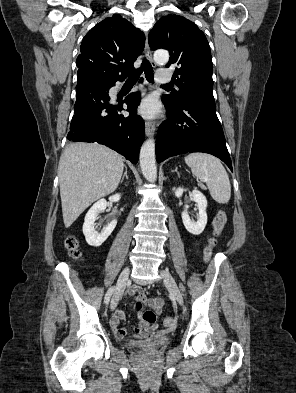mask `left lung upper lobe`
<instances>
[{
  "mask_svg": "<svg viewBox=\"0 0 296 393\" xmlns=\"http://www.w3.org/2000/svg\"><path fill=\"white\" fill-rule=\"evenodd\" d=\"M151 49H167L170 60L166 67L175 66L173 81L179 90L164 95L162 101L170 108L193 97H213L212 58L204 33L188 19L167 15L154 25L149 34Z\"/></svg>",
  "mask_w": 296,
  "mask_h": 393,
  "instance_id": "5c2ea615",
  "label": "left lung upper lobe"
}]
</instances>
